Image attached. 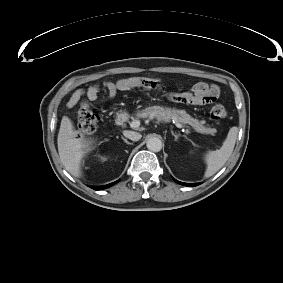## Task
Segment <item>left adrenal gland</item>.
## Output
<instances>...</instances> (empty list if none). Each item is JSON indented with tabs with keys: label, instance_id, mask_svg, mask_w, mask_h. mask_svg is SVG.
Here are the masks:
<instances>
[{
	"label": "left adrenal gland",
	"instance_id": "left-adrenal-gland-1",
	"mask_svg": "<svg viewBox=\"0 0 283 283\" xmlns=\"http://www.w3.org/2000/svg\"><path fill=\"white\" fill-rule=\"evenodd\" d=\"M171 133H172V135L174 136L175 141H177V140H178V138H179V135H178V134H175L173 131H171Z\"/></svg>",
	"mask_w": 283,
	"mask_h": 283
}]
</instances>
